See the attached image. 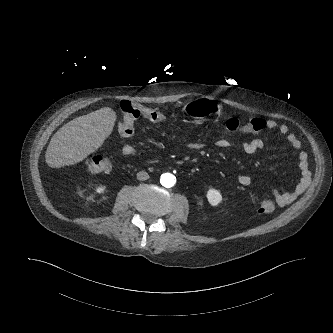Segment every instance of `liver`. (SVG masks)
Wrapping results in <instances>:
<instances>
[{
  "label": "liver",
  "instance_id": "obj_1",
  "mask_svg": "<svg viewBox=\"0 0 333 333\" xmlns=\"http://www.w3.org/2000/svg\"><path fill=\"white\" fill-rule=\"evenodd\" d=\"M116 119L113 109L103 107L71 120L51 138L45 153L46 163L59 168L84 160L102 146Z\"/></svg>",
  "mask_w": 333,
  "mask_h": 333
}]
</instances>
